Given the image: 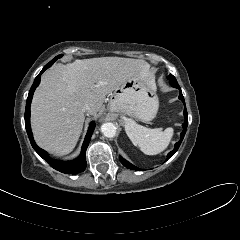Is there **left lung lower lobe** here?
<instances>
[{
    "label": "left lung lower lobe",
    "mask_w": 240,
    "mask_h": 240,
    "mask_svg": "<svg viewBox=\"0 0 240 240\" xmlns=\"http://www.w3.org/2000/svg\"><path fill=\"white\" fill-rule=\"evenodd\" d=\"M168 79L170 80V84H171L174 88L180 89V87H179V85H178V83H177V81H176V79H175V77H174L173 75H169V76H168ZM179 99L182 100V102L185 104L184 97H183V95H182V91H181V90H180V94H179ZM184 117H185V122L183 123V131H182V133H181V139L179 140V142H177V143L175 144L174 149H173L170 153H168L167 158H170V157L178 150V148H179V146H180V144H181V142H182V140H183V138H184V135H185V133H186V129H187V125H188V114H187L186 106H185V108H184ZM120 161H121V163H122L125 167H127V168H129V169L140 170L139 168L133 166L132 164H130L127 160H125V159L122 158V157H120Z\"/></svg>",
    "instance_id": "left-lung-lower-lobe-1"
}]
</instances>
